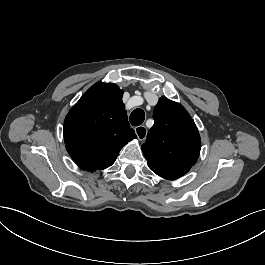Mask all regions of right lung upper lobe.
I'll use <instances>...</instances> for the list:
<instances>
[{
  "label": "right lung upper lobe",
  "mask_w": 265,
  "mask_h": 265,
  "mask_svg": "<svg viewBox=\"0 0 265 265\" xmlns=\"http://www.w3.org/2000/svg\"><path fill=\"white\" fill-rule=\"evenodd\" d=\"M123 91L113 83L98 82L72 107L64 122V141L73 161L94 172L110 167L122 147L134 138Z\"/></svg>",
  "instance_id": "1"
}]
</instances>
